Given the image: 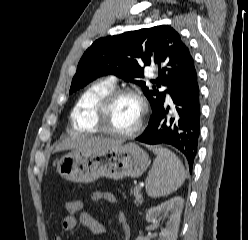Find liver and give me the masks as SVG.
<instances>
[{
	"label": "liver",
	"mask_w": 248,
	"mask_h": 240,
	"mask_svg": "<svg viewBox=\"0 0 248 240\" xmlns=\"http://www.w3.org/2000/svg\"><path fill=\"white\" fill-rule=\"evenodd\" d=\"M121 141L102 137L78 136L63 140L58 144L54 152L73 149L83 152H97L120 145Z\"/></svg>",
	"instance_id": "liver-1"
}]
</instances>
